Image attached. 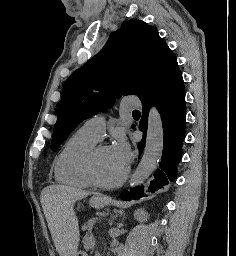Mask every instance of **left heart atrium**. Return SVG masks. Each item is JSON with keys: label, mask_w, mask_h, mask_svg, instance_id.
<instances>
[{"label": "left heart atrium", "mask_w": 236, "mask_h": 256, "mask_svg": "<svg viewBox=\"0 0 236 256\" xmlns=\"http://www.w3.org/2000/svg\"><path fill=\"white\" fill-rule=\"evenodd\" d=\"M108 150L114 163L125 167L130 159L131 147L123 131L118 129L114 132L112 143Z\"/></svg>", "instance_id": "obj_1"}]
</instances>
